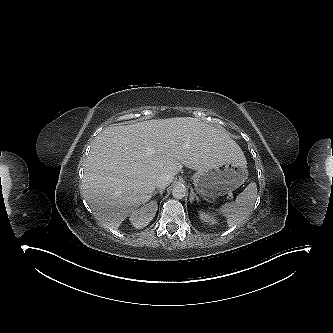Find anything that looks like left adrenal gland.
I'll return each mask as SVG.
<instances>
[{"label": "left adrenal gland", "mask_w": 333, "mask_h": 333, "mask_svg": "<svg viewBox=\"0 0 333 333\" xmlns=\"http://www.w3.org/2000/svg\"><path fill=\"white\" fill-rule=\"evenodd\" d=\"M194 199H196V201L199 202L198 196L194 193L193 189H191V193H190V197H189L190 203H193Z\"/></svg>", "instance_id": "a2214340"}]
</instances>
